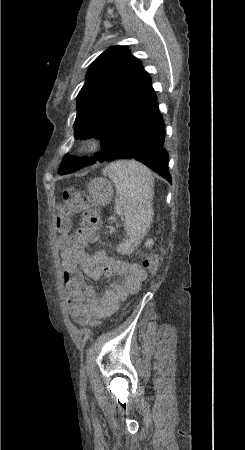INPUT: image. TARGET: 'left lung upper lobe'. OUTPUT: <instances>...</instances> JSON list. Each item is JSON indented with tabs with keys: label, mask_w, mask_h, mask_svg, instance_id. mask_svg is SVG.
Masks as SVG:
<instances>
[{
	"label": "left lung upper lobe",
	"mask_w": 245,
	"mask_h": 450,
	"mask_svg": "<svg viewBox=\"0 0 245 450\" xmlns=\"http://www.w3.org/2000/svg\"><path fill=\"white\" fill-rule=\"evenodd\" d=\"M156 99L150 75L130 54L128 47L114 46L104 51L88 69L77 97L74 122L75 138L86 139L93 135L100 138L102 152L85 163L66 155L58 173H71L83 165L103 160V155L119 151Z\"/></svg>",
	"instance_id": "5c2ea615"
}]
</instances>
